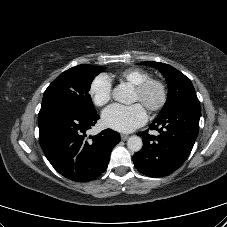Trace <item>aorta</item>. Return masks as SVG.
<instances>
[{
  "instance_id": "762f6f07",
  "label": "aorta",
  "mask_w": 227,
  "mask_h": 227,
  "mask_svg": "<svg viewBox=\"0 0 227 227\" xmlns=\"http://www.w3.org/2000/svg\"><path fill=\"white\" fill-rule=\"evenodd\" d=\"M112 95L114 100L121 103H128L130 97V88L124 84H120L113 90ZM142 146L143 142L139 136H131L127 140V147L133 152L140 151L142 149Z\"/></svg>"
}]
</instances>
